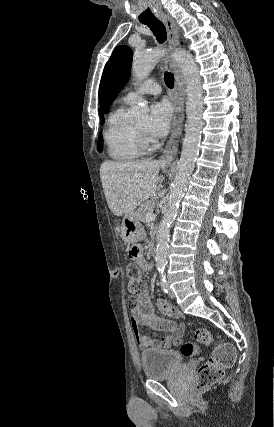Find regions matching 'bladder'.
<instances>
[{"instance_id": "obj_1", "label": "bladder", "mask_w": 274, "mask_h": 427, "mask_svg": "<svg viewBox=\"0 0 274 427\" xmlns=\"http://www.w3.org/2000/svg\"><path fill=\"white\" fill-rule=\"evenodd\" d=\"M181 355L173 349H146L140 353L144 376L149 380L171 377L180 368Z\"/></svg>"}]
</instances>
